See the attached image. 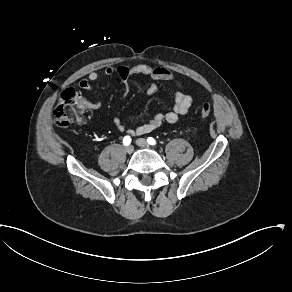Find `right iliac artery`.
Masks as SVG:
<instances>
[{
    "label": "right iliac artery",
    "instance_id": "right-iliac-artery-1",
    "mask_svg": "<svg viewBox=\"0 0 292 292\" xmlns=\"http://www.w3.org/2000/svg\"><path fill=\"white\" fill-rule=\"evenodd\" d=\"M131 143V138H130V136H125L124 138H123V144L124 145H126V146H128L129 144Z\"/></svg>",
    "mask_w": 292,
    "mask_h": 292
}]
</instances>
